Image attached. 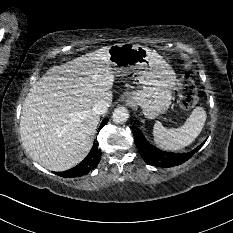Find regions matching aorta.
Segmentation results:
<instances>
[{
  "label": "aorta",
  "instance_id": "aorta-1",
  "mask_svg": "<svg viewBox=\"0 0 233 233\" xmlns=\"http://www.w3.org/2000/svg\"><path fill=\"white\" fill-rule=\"evenodd\" d=\"M113 121L116 123H123L126 122L129 118V112L126 108L121 107L117 108L113 112Z\"/></svg>",
  "mask_w": 233,
  "mask_h": 233
}]
</instances>
